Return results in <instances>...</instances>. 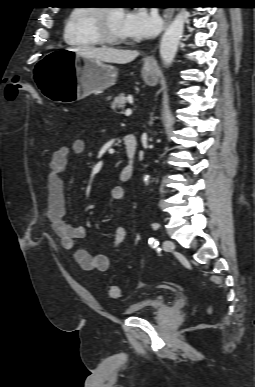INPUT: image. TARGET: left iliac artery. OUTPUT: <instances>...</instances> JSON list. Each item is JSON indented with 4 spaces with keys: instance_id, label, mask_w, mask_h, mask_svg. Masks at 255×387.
Returning <instances> with one entry per match:
<instances>
[{
    "instance_id": "obj_1",
    "label": "left iliac artery",
    "mask_w": 255,
    "mask_h": 387,
    "mask_svg": "<svg viewBox=\"0 0 255 387\" xmlns=\"http://www.w3.org/2000/svg\"><path fill=\"white\" fill-rule=\"evenodd\" d=\"M149 245H150L152 248H158L159 242H158L157 239H155V238H150V240H149Z\"/></svg>"
}]
</instances>
